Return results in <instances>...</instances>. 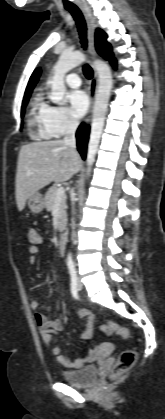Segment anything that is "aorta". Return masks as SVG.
Wrapping results in <instances>:
<instances>
[{"mask_svg":"<svg viewBox=\"0 0 165 419\" xmlns=\"http://www.w3.org/2000/svg\"><path fill=\"white\" fill-rule=\"evenodd\" d=\"M85 60V55L79 51L73 53L63 52L55 66L53 67V76L50 81L51 93L49 98L54 103L62 101L66 87L64 84L65 74L80 65ZM93 67L98 74V87L96 90L95 103L92 114L91 132L87 152V175L95 161V156L100 143L104 128L105 116L110 99V92L113 85L111 69L107 63L102 60H95ZM68 263L72 262L71 254L68 255Z\"/></svg>","mask_w":165,"mask_h":419,"instance_id":"obj_1","label":"aorta"}]
</instances>
